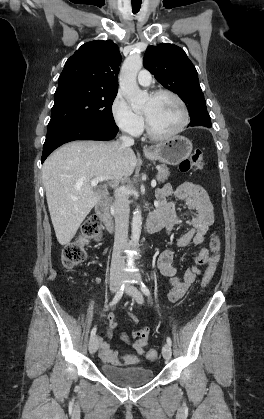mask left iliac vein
<instances>
[{
	"instance_id": "4c4485c4",
	"label": "left iliac vein",
	"mask_w": 264,
	"mask_h": 419,
	"mask_svg": "<svg viewBox=\"0 0 264 419\" xmlns=\"http://www.w3.org/2000/svg\"><path fill=\"white\" fill-rule=\"evenodd\" d=\"M125 292L126 294L131 296L133 299H135L137 303L139 304L143 303V296L141 292L131 283L126 284ZM162 354L166 360H169L171 358L172 349L168 343L164 344V346L162 347Z\"/></svg>"
}]
</instances>
